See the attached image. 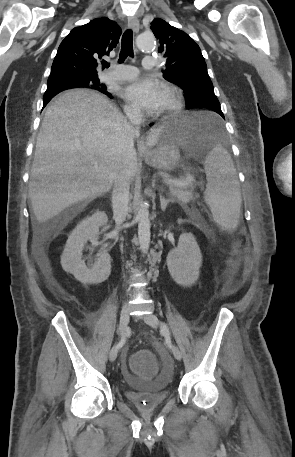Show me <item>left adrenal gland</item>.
Returning a JSON list of instances; mask_svg holds the SVG:
<instances>
[{
	"label": "left adrenal gland",
	"instance_id": "left-adrenal-gland-1",
	"mask_svg": "<svg viewBox=\"0 0 295 457\" xmlns=\"http://www.w3.org/2000/svg\"><path fill=\"white\" fill-rule=\"evenodd\" d=\"M171 199H165L161 194H160V205L163 210L167 207V205L171 202Z\"/></svg>",
	"mask_w": 295,
	"mask_h": 457
}]
</instances>
